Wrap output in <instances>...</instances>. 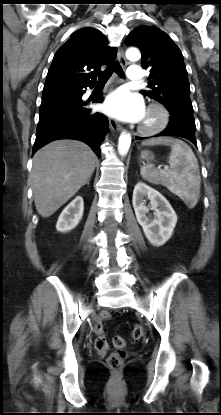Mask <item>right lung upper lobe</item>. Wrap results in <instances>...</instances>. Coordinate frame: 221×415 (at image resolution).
<instances>
[{
	"instance_id": "right-lung-upper-lobe-1",
	"label": "right lung upper lobe",
	"mask_w": 221,
	"mask_h": 415,
	"mask_svg": "<svg viewBox=\"0 0 221 415\" xmlns=\"http://www.w3.org/2000/svg\"><path fill=\"white\" fill-rule=\"evenodd\" d=\"M107 43L94 28L77 30L56 52L43 91L94 83L101 66L112 63L117 55V50Z\"/></svg>"
}]
</instances>
